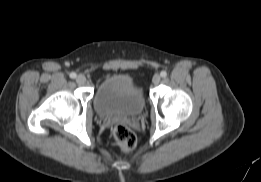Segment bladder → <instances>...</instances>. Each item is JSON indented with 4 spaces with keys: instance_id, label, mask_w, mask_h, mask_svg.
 Segmentation results:
<instances>
[{
    "instance_id": "obj_1",
    "label": "bladder",
    "mask_w": 261,
    "mask_h": 182,
    "mask_svg": "<svg viewBox=\"0 0 261 182\" xmlns=\"http://www.w3.org/2000/svg\"><path fill=\"white\" fill-rule=\"evenodd\" d=\"M94 108L103 117H133L144 108V95L135 81L123 74H112L104 78L94 94Z\"/></svg>"
}]
</instances>
